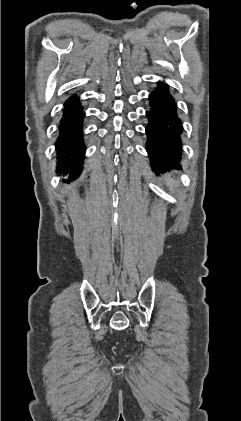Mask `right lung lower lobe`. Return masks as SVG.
Masks as SVG:
<instances>
[{"instance_id":"98d812e1","label":"right lung lower lobe","mask_w":241,"mask_h":421,"mask_svg":"<svg viewBox=\"0 0 241 421\" xmlns=\"http://www.w3.org/2000/svg\"><path fill=\"white\" fill-rule=\"evenodd\" d=\"M64 107L55 144L58 153L57 173L68 174L74 180L82 171L85 154L82 134L84 112L75 94L66 100Z\"/></svg>"}]
</instances>
